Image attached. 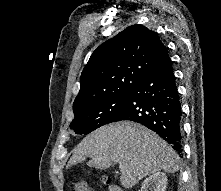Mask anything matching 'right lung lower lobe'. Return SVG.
Instances as JSON below:
<instances>
[{"instance_id": "1", "label": "right lung lower lobe", "mask_w": 221, "mask_h": 191, "mask_svg": "<svg viewBox=\"0 0 221 191\" xmlns=\"http://www.w3.org/2000/svg\"><path fill=\"white\" fill-rule=\"evenodd\" d=\"M181 104L169 56L132 90L124 112L116 121L141 123L182 151Z\"/></svg>"}]
</instances>
